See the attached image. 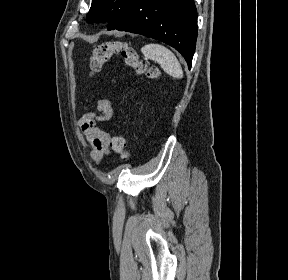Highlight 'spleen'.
<instances>
[{
  "label": "spleen",
  "instance_id": "spleen-1",
  "mask_svg": "<svg viewBox=\"0 0 288 280\" xmlns=\"http://www.w3.org/2000/svg\"><path fill=\"white\" fill-rule=\"evenodd\" d=\"M143 55L160 64L161 68L174 78L181 79L183 71L175 55L163 45L151 43L141 48Z\"/></svg>",
  "mask_w": 288,
  "mask_h": 280
}]
</instances>
